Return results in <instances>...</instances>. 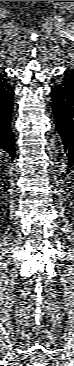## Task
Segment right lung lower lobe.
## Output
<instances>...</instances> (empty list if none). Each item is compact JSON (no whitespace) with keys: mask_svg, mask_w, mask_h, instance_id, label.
<instances>
[{"mask_svg":"<svg viewBox=\"0 0 74 366\" xmlns=\"http://www.w3.org/2000/svg\"><path fill=\"white\" fill-rule=\"evenodd\" d=\"M14 92L6 79V73L0 72V151L15 157L14 137L10 128L13 111Z\"/></svg>","mask_w":74,"mask_h":366,"instance_id":"1","label":"right lung lower lobe"}]
</instances>
